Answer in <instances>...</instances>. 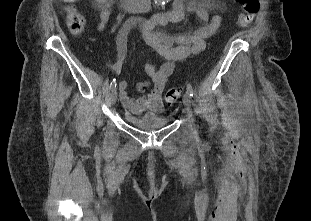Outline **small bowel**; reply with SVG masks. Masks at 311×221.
<instances>
[{
    "instance_id": "small-bowel-1",
    "label": "small bowel",
    "mask_w": 311,
    "mask_h": 221,
    "mask_svg": "<svg viewBox=\"0 0 311 221\" xmlns=\"http://www.w3.org/2000/svg\"><path fill=\"white\" fill-rule=\"evenodd\" d=\"M102 7L98 15L100 18L98 30L103 31L111 15L114 0H101ZM195 13L201 24L194 30L170 35L156 28L165 24H177L186 20L188 13ZM145 24L138 27L141 30L144 41L154 48L165 60L159 67L147 62L144 70L149 80H142L137 84L140 92L149 90L139 98H131L127 92V82L120 81L118 84L122 103L133 114H142L147 111H163V93L166 82L175 70L176 62L186 60L200 54L205 49V38L213 35L221 24L218 15L209 16L207 11L196 0H175L174 7L163 13L154 15L148 20H142ZM132 28L130 24L124 26L117 38L118 59L113 72H118L125 61L127 36Z\"/></svg>"
}]
</instances>
